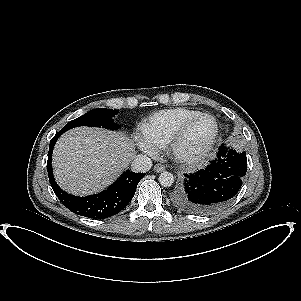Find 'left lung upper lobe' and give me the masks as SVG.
<instances>
[{"label": "left lung upper lobe", "instance_id": "obj_1", "mask_svg": "<svg viewBox=\"0 0 301 301\" xmlns=\"http://www.w3.org/2000/svg\"><path fill=\"white\" fill-rule=\"evenodd\" d=\"M179 189V188H178ZM178 189L173 193V195H172V201L174 200V198H175V193L178 191Z\"/></svg>", "mask_w": 301, "mask_h": 301}]
</instances>
